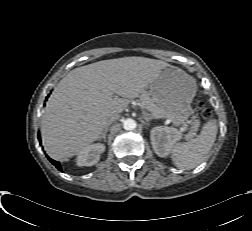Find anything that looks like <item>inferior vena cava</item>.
Returning <instances> with one entry per match:
<instances>
[{"mask_svg": "<svg viewBox=\"0 0 252 231\" xmlns=\"http://www.w3.org/2000/svg\"><path fill=\"white\" fill-rule=\"evenodd\" d=\"M119 115L118 114H111L107 117V119L105 120V125L106 127L109 126L110 124H112L114 121H116L118 119Z\"/></svg>", "mask_w": 252, "mask_h": 231, "instance_id": "602c4592", "label": "inferior vena cava"}]
</instances>
